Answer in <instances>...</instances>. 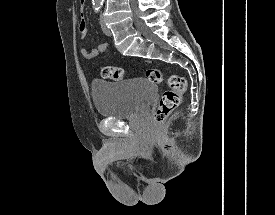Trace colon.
I'll list each match as a JSON object with an SVG mask.
<instances>
[{
  "label": "colon",
  "instance_id": "5ec220e1",
  "mask_svg": "<svg viewBox=\"0 0 275 215\" xmlns=\"http://www.w3.org/2000/svg\"><path fill=\"white\" fill-rule=\"evenodd\" d=\"M102 76L110 80L119 81L123 78L124 71L117 66H104L102 68ZM147 78L153 83H160L163 80V72L157 68L148 69ZM166 82L167 89L162 93L154 114V119L157 123H162L166 120L169 114L178 106L182 94L186 91V80L182 76L169 75L166 78Z\"/></svg>",
  "mask_w": 275,
  "mask_h": 215
}]
</instances>
